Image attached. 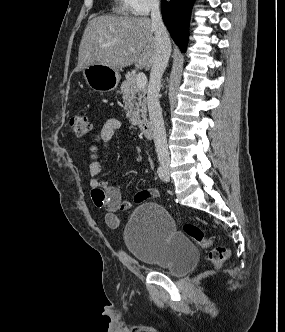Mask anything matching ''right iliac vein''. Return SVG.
Listing matches in <instances>:
<instances>
[{"instance_id":"obj_1","label":"right iliac vein","mask_w":285,"mask_h":332,"mask_svg":"<svg viewBox=\"0 0 285 332\" xmlns=\"http://www.w3.org/2000/svg\"><path fill=\"white\" fill-rule=\"evenodd\" d=\"M164 168H165V170H167V169H168L166 166H165Z\"/></svg>"}]
</instances>
